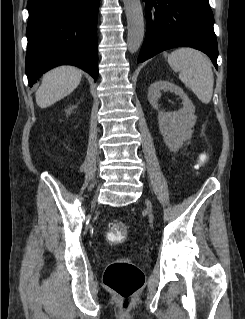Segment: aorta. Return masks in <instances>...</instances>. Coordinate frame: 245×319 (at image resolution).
Wrapping results in <instances>:
<instances>
[{"mask_svg": "<svg viewBox=\"0 0 245 319\" xmlns=\"http://www.w3.org/2000/svg\"><path fill=\"white\" fill-rule=\"evenodd\" d=\"M127 18V47L136 53L144 39V18L140 0H123Z\"/></svg>", "mask_w": 245, "mask_h": 319, "instance_id": "aorta-1", "label": "aorta"}]
</instances>
